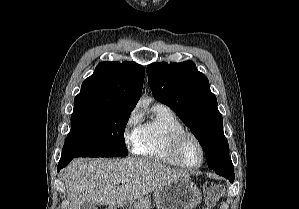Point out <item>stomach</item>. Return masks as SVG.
Here are the masks:
<instances>
[{"label": "stomach", "instance_id": "obj_1", "mask_svg": "<svg viewBox=\"0 0 299 209\" xmlns=\"http://www.w3.org/2000/svg\"><path fill=\"white\" fill-rule=\"evenodd\" d=\"M153 204L158 209H195L202 200L199 188L190 180L182 177L156 188ZM121 209H151L149 196H144L133 203L120 206ZM108 209H117L109 206Z\"/></svg>", "mask_w": 299, "mask_h": 209}]
</instances>
